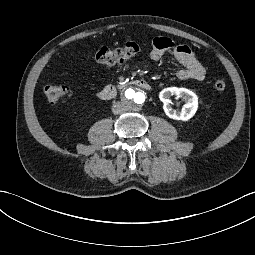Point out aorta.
Returning <instances> with one entry per match:
<instances>
[{
    "mask_svg": "<svg viewBox=\"0 0 255 255\" xmlns=\"http://www.w3.org/2000/svg\"><path fill=\"white\" fill-rule=\"evenodd\" d=\"M123 98L127 105L133 108H138L145 102V94L137 87H130L123 93Z\"/></svg>",
    "mask_w": 255,
    "mask_h": 255,
    "instance_id": "762f6f07",
    "label": "aorta"
}]
</instances>
